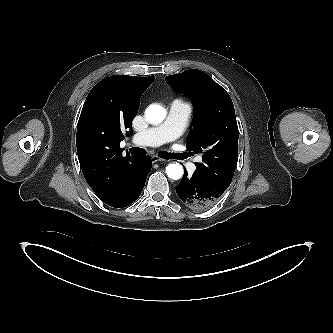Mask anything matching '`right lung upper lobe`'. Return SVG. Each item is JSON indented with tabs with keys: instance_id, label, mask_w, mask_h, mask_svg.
Masks as SVG:
<instances>
[{
	"instance_id": "obj_1",
	"label": "right lung upper lobe",
	"mask_w": 333,
	"mask_h": 333,
	"mask_svg": "<svg viewBox=\"0 0 333 333\" xmlns=\"http://www.w3.org/2000/svg\"><path fill=\"white\" fill-rule=\"evenodd\" d=\"M154 76L107 77L89 92L77 125L76 145L86 181L106 204L122 191L128 167L136 156L122 155L123 133L132 135L131 124L139 99Z\"/></svg>"
}]
</instances>
